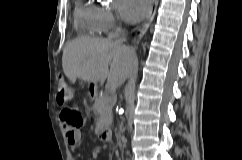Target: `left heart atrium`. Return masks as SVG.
Listing matches in <instances>:
<instances>
[{
  "label": "left heart atrium",
  "mask_w": 242,
  "mask_h": 160,
  "mask_svg": "<svg viewBox=\"0 0 242 160\" xmlns=\"http://www.w3.org/2000/svg\"><path fill=\"white\" fill-rule=\"evenodd\" d=\"M150 2L151 0H117L116 8L124 21L136 23L146 16Z\"/></svg>",
  "instance_id": "39dd6f15"
}]
</instances>
